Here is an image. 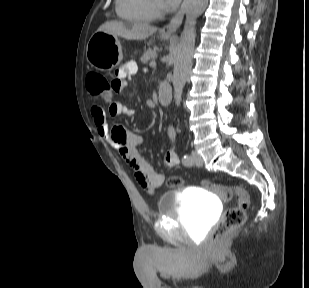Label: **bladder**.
<instances>
[{"label":"bladder","mask_w":309,"mask_h":288,"mask_svg":"<svg viewBox=\"0 0 309 288\" xmlns=\"http://www.w3.org/2000/svg\"><path fill=\"white\" fill-rule=\"evenodd\" d=\"M161 218H175L192 234H202L220 211L219 197L207 190L177 189L163 193L157 201Z\"/></svg>","instance_id":"bladder-1"}]
</instances>
